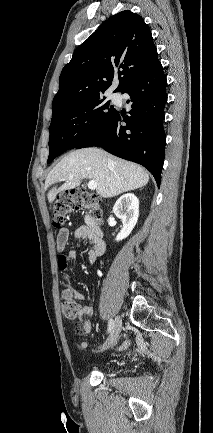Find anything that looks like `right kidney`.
Segmentation results:
<instances>
[{
    "mask_svg": "<svg viewBox=\"0 0 213 433\" xmlns=\"http://www.w3.org/2000/svg\"><path fill=\"white\" fill-rule=\"evenodd\" d=\"M113 213L121 219L123 223V228L116 237V241H121L129 236L138 221V198L132 193L122 195L116 201L113 207Z\"/></svg>",
    "mask_w": 213,
    "mask_h": 433,
    "instance_id": "right-kidney-1",
    "label": "right kidney"
}]
</instances>
